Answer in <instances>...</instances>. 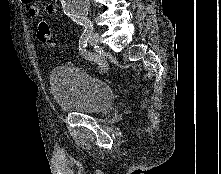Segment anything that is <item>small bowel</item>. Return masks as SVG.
<instances>
[{
	"mask_svg": "<svg viewBox=\"0 0 221 174\" xmlns=\"http://www.w3.org/2000/svg\"><path fill=\"white\" fill-rule=\"evenodd\" d=\"M27 6V12L30 17L38 18L40 16V10L34 3V0H23ZM45 13L49 16L55 15L57 13V6L54 3H48L45 6Z\"/></svg>",
	"mask_w": 221,
	"mask_h": 174,
	"instance_id": "1",
	"label": "small bowel"
}]
</instances>
